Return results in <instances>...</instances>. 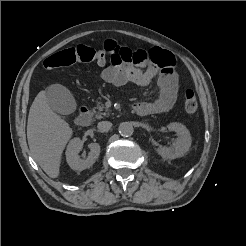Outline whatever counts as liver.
<instances>
[{"label": "liver", "instance_id": "1", "mask_svg": "<svg viewBox=\"0 0 246 246\" xmlns=\"http://www.w3.org/2000/svg\"><path fill=\"white\" fill-rule=\"evenodd\" d=\"M72 134L70 125L50 108L45 91H40L29 110L27 140L32 157L49 177L59 176L62 153Z\"/></svg>", "mask_w": 246, "mask_h": 246}]
</instances>
